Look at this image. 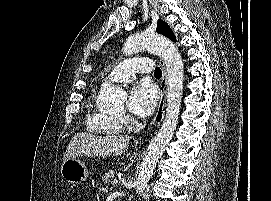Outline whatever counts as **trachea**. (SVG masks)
Returning <instances> with one entry per match:
<instances>
[{"label": "trachea", "mask_w": 271, "mask_h": 201, "mask_svg": "<svg viewBox=\"0 0 271 201\" xmlns=\"http://www.w3.org/2000/svg\"><path fill=\"white\" fill-rule=\"evenodd\" d=\"M154 75H155L156 78H161L162 71H161L160 67L155 68Z\"/></svg>", "instance_id": "obj_1"}]
</instances>
